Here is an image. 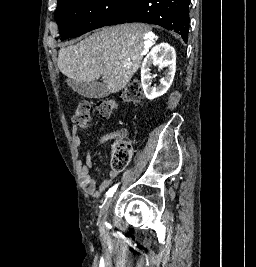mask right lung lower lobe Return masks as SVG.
Segmentation results:
<instances>
[{"instance_id":"1","label":"right lung lower lobe","mask_w":256,"mask_h":267,"mask_svg":"<svg viewBox=\"0 0 256 267\" xmlns=\"http://www.w3.org/2000/svg\"><path fill=\"white\" fill-rule=\"evenodd\" d=\"M190 0H138L128 14H122L104 26L127 22L157 24L182 35L187 43Z\"/></svg>"}]
</instances>
